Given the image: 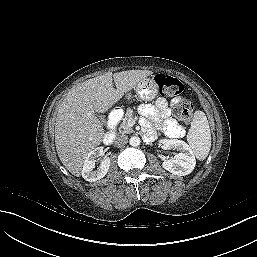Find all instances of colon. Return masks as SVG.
<instances>
[{
    "instance_id": "1",
    "label": "colon",
    "mask_w": 257,
    "mask_h": 257,
    "mask_svg": "<svg viewBox=\"0 0 257 257\" xmlns=\"http://www.w3.org/2000/svg\"><path fill=\"white\" fill-rule=\"evenodd\" d=\"M155 82L159 91L164 97H173L181 94L184 91V84L177 78L159 73L155 76ZM193 113L192 103H184L176 109L178 119L184 123L191 120Z\"/></svg>"
}]
</instances>
